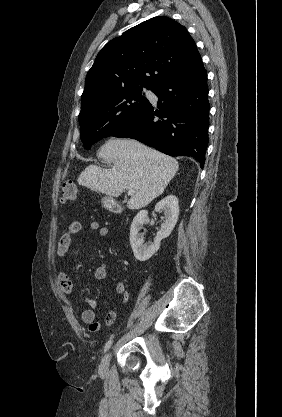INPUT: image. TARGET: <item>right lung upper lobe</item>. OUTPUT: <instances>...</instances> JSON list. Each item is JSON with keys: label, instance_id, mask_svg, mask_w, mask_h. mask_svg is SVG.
Listing matches in <instances>:
<instances>
[{"label": "right lung upper lobe", "instance_id": "1", "mask_svg": "<svg viewBox=\"0 0 282 417\" xmlns=\"http://www.w3.org/2000/svg\"><path fill=\"white\" fill-rule=\"evenodd\" d=\"M201 62L186 28L165 16L151 18L109 41L88 71L82 100L129 88L155 90Z\"/></svg>", "mask_w": 282, "mask_h": 417}]
</instances>
